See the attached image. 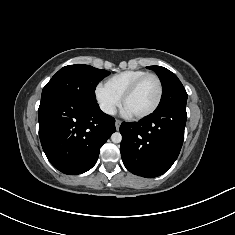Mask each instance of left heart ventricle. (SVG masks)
Instances as JSON below:
<instances>
[{"instance_id":"left-heart-ventricle-1","label":"left heart ventricle","mask_w":235,"mask_h":235,"mask_svg":"<svg viewBox=\"0 0 235 235\" xmlns=\"http://www.w3.org/2000/svg\"><path fill=\"white\" fill-rule=\"evenodd\" d=\"M158 83L155 78L145 79L124 103L125 108L131 115L139 114L150 109L158 97Z\"/></svg>"}]
</instances>
